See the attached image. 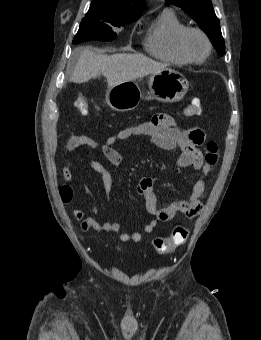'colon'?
<instances>
[{
  "label": "colon",
  "mask_w": 261,
  "mask_h": 340,
  "mask_svg": "<svg viewBox=\"0 0 261 340\" xmlns=\"http://www.w3.org/2000/svg\"><path fill=\"white\" fill-rule=\"evenodd\" d=\"M77 109L83 115L88 113V104L85 100L77 101ZM201 112V102L199 99H193L191 104L187 106L183 113L185 116H195ZM206 162L213 166L218 160V147L214 141H210L207 145ZM60 196L65 203L71 201L73 192L70 187L64 186L60 189ZM188 238V230L183 226H175L171 233L165 237H156L152 241L155 251L159 254H166L176 247L184 244Z\"/></svg>",
  "instance_id": "colon-1"
}]
</instances>
